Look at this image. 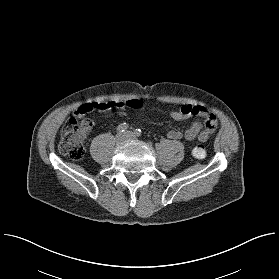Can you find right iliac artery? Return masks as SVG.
I'll return each mask as SVG.
<instances>
[{
    "label": "right iliac artery",
    "mask_w": 279,
    "mask_h": 279,
    "mask_svg": "<svg viewBox=\"0 0 279 279\" xmlns=\"http://www.w3.org/2000/svg\"><path fill=\"white\" fill-rule=\"evenodd\" d=\"M128 129V124L126 123H121L118 127H117V133H122L124 131H126Z\"/></svg>",
    "instance_id": "obj_1"
}]
</instances>
